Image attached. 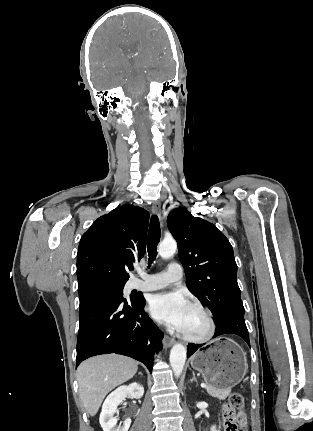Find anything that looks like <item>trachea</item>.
I'll use <instances>...</instances> for the list:
<instances>
[{
    "instance_id": "1",
    "label": "trachea",
    "mask_w": 313,
    "mask_h": 431,
    "mask_svg": "<svg viewBox=\"0 0 313 431\" xmlns=\"http://www.w3.org/2000/svg\"><path fill=\"white\" fill-rule=\"evenodd\" d=\"M160 237H161V232H160L159 219L156 215H153L150 221L148 243H147L149 266L153 263V261L157 256V245L160 241Z\"/></svg>"
}]
</instances>
